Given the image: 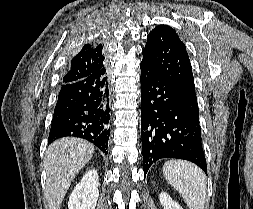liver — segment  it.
Wrapping results in <instances>:
<instances>
[{
    "label": "liver",
    "instance_id": "liver-1",
    "mask_svg": "<svg viewBox=\"0 0 253 209\" xmlns=\"http://www.w3.org/2000/svg\"><path fill=\"white\" fill-rule=\"evenodd\" d=\"M93 154V144L74 137L61 138L48 147L44 161L48 209H60L72 181Z\"/></svg>",
    "mask_w": 253,
    "mask_h": 209
}]
</instances>
